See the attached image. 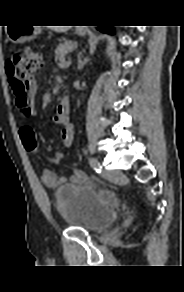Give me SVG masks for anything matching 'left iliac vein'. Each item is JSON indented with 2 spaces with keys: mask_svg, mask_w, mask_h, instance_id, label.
Masks as SVG:
<instances>
[{
  "mask_svg": "<svg viewBox=\"0 0 184 292\" xmlns=\"http://www.w3.org/2000/svg\"><path fill=\"white\" fill-rule=\"evenodd\" d=\"M118 175H119V171H117V170H104L102 173V176L108 180L117 178Z\"/></svg>",
  "mask_w": 184,
  "mask_h": 292,
  "instance_id": "left-iliac-vein-1",
  "label": "left iliac vein"
}]
</instances>
